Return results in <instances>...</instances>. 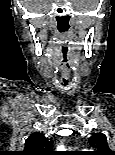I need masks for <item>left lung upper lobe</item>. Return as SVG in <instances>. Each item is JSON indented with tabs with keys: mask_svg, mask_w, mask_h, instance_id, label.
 Returning a JSON list of instances; mask_svg holds the SVG:
<instances>
[{
	"mask_svg": "<svg viewBox=\"0 0 115 155\" xmlns=\"http://www.w3.org/2000/svg\"><path fill=\"white\" fill-rule=\"evenodd\" d=\"M90 145L96 149L93 155H115L108 147L107 138L103 133H95L89 138Z\"/></svg>",
	"mask_w": 115,
	"mask_h": 155,
	"instance_id": "left-lung-upper-lobe-1",
	"label": "left lung upper lobe"
}]
</instances>
